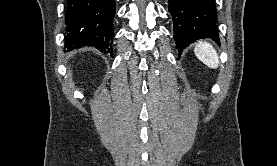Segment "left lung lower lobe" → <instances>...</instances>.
<instances>
[{"label":"left lung lower lobe","mask_w":277,"mask_h":166,"mask_svg":"<svg viewBox=\"0 0 277 166\" xmlns=\"http://www.w3.org/2000/svg\"><path fill=\"white\" fill-rule=\"evenodd\" d=\"M179 54L197 39L211 38L219 44L214 0H168Z\"/></svg>","instance_id":"obj_1"}]
</instances>
